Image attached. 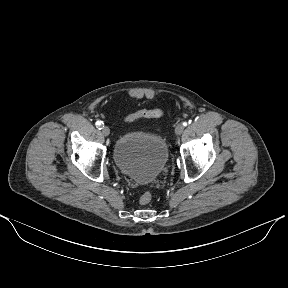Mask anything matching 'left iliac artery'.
<instances>
[{
    "label": "left iliac artery",
    "instance_id": "1",
    "mask_svg": "<svg viewBox=\"0 0 288 288\" xmlns=\"http://www.w3.org/2000/svg\"><path fill=\"white\" fill-rule=\"evenodd\" d=\"M182 125H183L184 127H186V126L188 125V123H187V122H183Z\"/></svg>",
    "mask_w": 288,
    "mask_h": 288
}]
</instances>
